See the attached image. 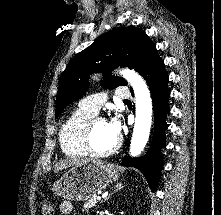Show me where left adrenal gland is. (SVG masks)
<instances>
[{
	"instance_id": "left-adrenal-gland-1",
	"label": "left adrenal gland",
	"mask_w": 221,
	"mask_h": 215,
	"mask_svg": "<svg viewBox=\"0 0 221 215\" xmlns=\"http://www.w3.org/2000/svg\"><path fill=\"white\" fill-rule=\"evenodd\" d=\"M122 188H123L122 184H121V183H117V184L115 185V190H114L111 194H109V196L106 197L104 201L108 200L114 193L118 192V191L121 190Z\"/></svg>"
}]
</instances>
